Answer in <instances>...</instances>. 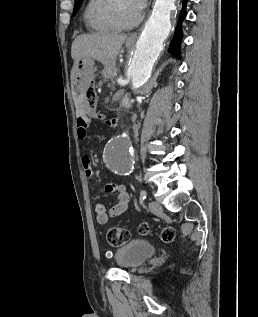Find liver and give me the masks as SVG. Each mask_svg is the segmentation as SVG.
<instances>
[{
  "mask_svg": "<svg viewBox=\"0 0 258 317\" xmlns=\"http://www.w3.org/2000/svg\"><path fill=\"white\" fill-rule=\"evenodd\" d=\"M127 34L118 32H92V34H79L72 42L71 56L74 66L81 56H90L104 64L106 70L115 68L116 56Z\"/></svg>",
  "mask_w": 258,
  "mask_h": 317,
  "instance_id": "obj_1",
  "label": "liver"
}]
</instances>
